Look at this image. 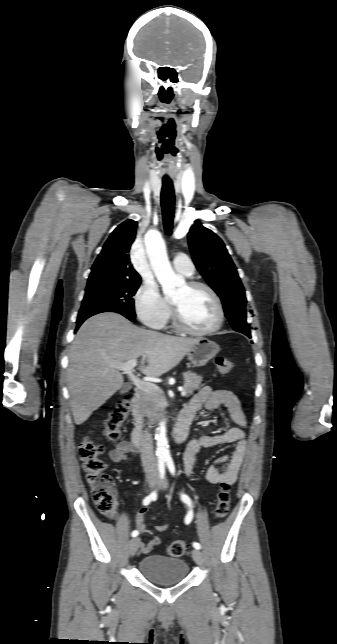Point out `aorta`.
<instances>
[{
	"mask_svg": "<svg viewBox=\"0 0 337 644\" xmlns=\"http://www.w3.org/2000/svg\"><path fill=\"white\" fill-rule=\"evenodd\" d=\"M145 246L152 270L162 286L166 296L175 294L178 288L185 285L182 276L175 274L169 262L165 243L158 231L152 230L146 234ZM157 455L160 458H170L169 445L166 436V424H159L156 434Z\"/></svg>",
	"mask_w": 337,
	"mask_h": 644,
	"instance_id": "1",
	"label": "aorta"
}]
</instances>
